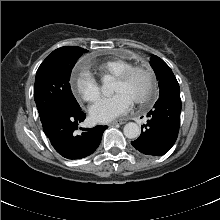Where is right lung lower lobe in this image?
<instances>
[{
    "label": "right lung lower lobe",
    "mask_w": 220,
    "mask_h": 220,
    "mask_svg": "<svg viewBox=\"0 0 220 220\" xmlns=\"http://www.w3.org/2000/svg\"><path fill=\"white\" fill-rule=\"evenodd\" d=\"M86 114L78 111H59L42 121L43 130L54 149L67 159H81L92 154L99 146L107 126L92 129L80 128L83 132L76 135L79 123Z\"/></svg>",
    "instance_id": "right-lung-lower-lobe-1"
}]
</instances>
